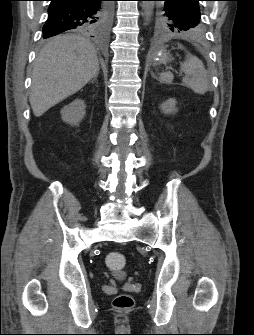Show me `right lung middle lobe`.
Masks as SVG:
<instances>
[{
    "instance_id": "obj_1",
    "label": "right lung middle lobe",
    "mask_w": 254,
    "mask_h": 335,
    "mask_svg": "<svg viewBox=\"0 0 254 335\" xmlns=\"http://www.w3.org/2000/svg\"><path fill=\"white\" fill-rule=\"evenodd\" d=\"M110 6L109 4H103L102 5V11L100 14V18L98 20V22L93 26V28L90 31H86V30H77L80 32H98V31H102L104 30L109 23V19H110Z\"/></svg>"
}]
</instances>
